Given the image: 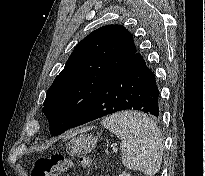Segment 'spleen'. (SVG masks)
<instances>
[{"mask_svg":"<svg viewBox=\"0 0 205 176\" xmlns=\"http://www.w3.org/2000/svg\"><path fill=\"white\" fill-rule=\"evenodd\" d=\"M101 124L120 140L122 163L132 170L154 176L160 169L163 155V137L156 123L137 111L112 114Z\"/></svg>","mask_w":205,"mask_h":176,"instance_id":"spleen-1","label":"spleen"}]
</instances>
